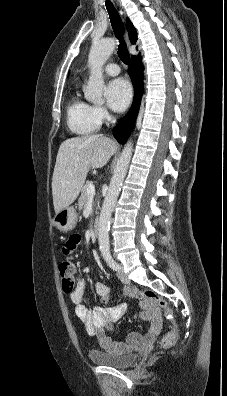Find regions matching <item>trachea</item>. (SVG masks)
<instances>
[{
    "label": "trachea",
    "instance_id": "obj_1",
    "mask_svg": "<svg viewBox=\"0 0 227 396\" xmlns=\"http://www.w3.org/2000/svg\"><path fill=\"white\" fill-rule=\"evenodd\" d=\"M106 7L109 13L113 32L116 38L119 40L118 55L120 59L123 61V63L128 65L130 63V56L127 49V45L123 38L124 27L121 17L118 11L115 9L113 4L109 0L106 1Z\"/></svg>",
    "mask_w": 227,
    "mask_h": 396
}]
</instances>
